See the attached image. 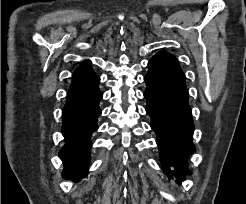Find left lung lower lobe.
I'll list each match as a JSON object with an SVG mask.
<instances>
[{"label":"left lung lower lobe","instance_id":"1","mask_svg":"<svg viewBox=\"0 0 246 204\" xmlns=\"http://www.w3.org/2000/svg\"><path fill=\"white\" fill-rule=\"evenodd\" d=\"M148 66L144 78L146 112L157 135L163 170L168 177L175 176L183 181L188 174L186 159L195 152L185 75L177 59L165 51L153 56Z\"/></svg>","mask_w":246,"mask_h":204}]
</instances>
